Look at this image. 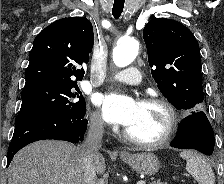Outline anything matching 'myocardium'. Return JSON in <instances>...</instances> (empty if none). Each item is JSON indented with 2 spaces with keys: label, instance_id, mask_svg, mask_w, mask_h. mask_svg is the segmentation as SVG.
<instances>
[{
  "label": "myocardium",
  "instance_id": "obj_1",
  "mask_svg": "<svg viewBox=\"0 0 224 184\" xmlns=\"http://www.w3.org/2000/svg\"><path fill=\"white\" fill-rule=\"evenodd\" d=\"M141 102L144 104L159 105L165 110L168 117L165 130L161 137L152 141H145L134 137L127 128L124 130V137L128 141L142 147L154 148L166 144L174 136L179 124V115L177 109L165 98L157 96H147L143 98Z\"/></svg>",
  "mask_w": 224,
  "mask_h": 184
}]
</instances>
